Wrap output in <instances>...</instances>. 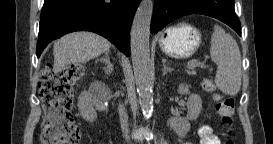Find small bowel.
I'll use <instances>...</instances> for the list:
<instances>
[{"mask_svg": "<svg viewBox=\"0 0 273 144\" xmlns=\"http://www.w3.org/2000/svg\"><path fill=\"white\" fill-rule=\"evenodd\" d=\"M200 144H220L219 137L214 133L209 125H202L198 129Z\"/></svg>", "mask_w": 273, "mask_h": 144, "instance_id": "1", "label": "small bowel"}]
</instances>
